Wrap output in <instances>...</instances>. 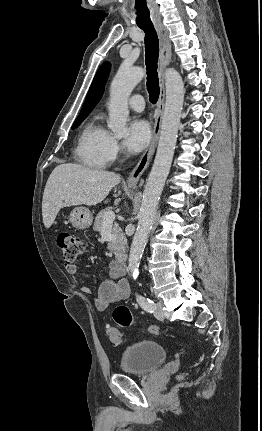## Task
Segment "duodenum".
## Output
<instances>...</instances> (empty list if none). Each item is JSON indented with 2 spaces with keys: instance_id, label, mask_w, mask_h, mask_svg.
<instances>
[{
  "instance_id": "1",
  "label": "duodenum",
  "mask_w": 262,
  "mask_h": 431,
  "mask_svg": "<svg viewBox=\"0 0 262 431\" xmlns=\"http://www.w3.org/2000/svg\"><path fill=\"white\" fill-rule=\"evenodd\" d=\"M127 254L126 253H124V252H122V253H120L119 254V256H118V260H119V262H121V263H123V264H125L126 263V261H127Z\"/></svg>"
}]
</instances>
